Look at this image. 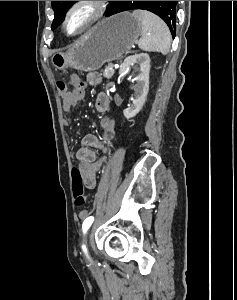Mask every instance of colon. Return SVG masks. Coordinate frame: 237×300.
<instances>
[{
  "label": "colon",
  "instance_id": "5ec220e1",
  "mask_svg": "<svg viewBox=\"0 0 237 300\" xmlns=\"http://www.w3.org/2000/svg\"><path fill=\"white\" fill-rule=\"evenodd\" d=\"M57 85L61 92L67 90V87L64 82L58 81ZM72 91L77 97H83L85 92V85L82 83L78 84L73 87ZM72 190L76 205L82 206L85 203L84 180L78 168H73L72 170Z\"/></svg>",
  "mask_w": 237,
  "mask_h": 300
}]
</instances>
